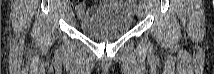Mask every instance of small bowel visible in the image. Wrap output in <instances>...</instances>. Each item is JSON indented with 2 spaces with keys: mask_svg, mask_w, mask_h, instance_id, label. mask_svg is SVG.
Here are the masks:
<instances>
[{
  "mask_svg": "<svg viewBox=\"0 0 214 74\" xmlns=\"http://www.w3.org/2000/svg\"><path fill=\"white\" fill-rule=\"evenodd\" d=\"M110 4H113V5H116V4H117V5H122V6L126 7V8H128V9H131L130 6H128V5H123L122 2H113V3H111V2H108V1H103V2L100 3V6H108V5H110ZM76 9H77L78 18L82 19V18L84 17V11H85V9H86L85 3L80 2V3L77 5Z\"/></svg>",
  "mask_w": 214,
  "mask_h": 74,
  "instance_id": "c3829d8e",
  "label": "small bowel"
}]
</instances>
